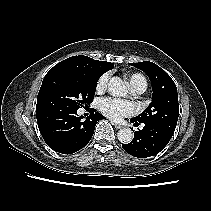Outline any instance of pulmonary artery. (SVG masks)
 <instances>
[{
	"label": "pulmonary artery",
	"mask_w": 211,
	"mask_h": 211,
	"mask_svg": "<svg viewBox=\"0 0 211 211\" xmlns=\"http://www.w3.org/2000/svg\"><path fill=\"white\" fill-rule=\"evenodd\" d=\"M144 88H142V87H138V88H133V92L135 93V94H140V93H142V92H144Z\"/></svg>",
	"instance_id": "obj_1"
}]
</instances>
